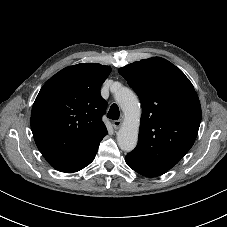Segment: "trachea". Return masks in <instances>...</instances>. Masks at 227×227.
Masks as SVG:
<instances>
[{
  "mask_svg": "<svg viewBox=\"0 0 227 227\" xmlns=\"http://www.w3.org/2000/svg\"><path fill=\"white\" fill-rule=\"evenodd\" d=\"M119 116H120V111L118 106L116 104H112L107 114V117L112 120H118Z\"/></svg>",
  "mask_w": 227,
  "mask_h": 227,
  "instance_id": "trachea-1",
  "label": "trachea"
}]
</instances>
